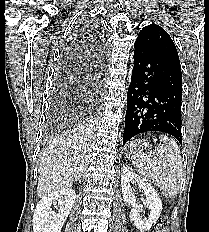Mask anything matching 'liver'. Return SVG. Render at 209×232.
I'll return each mask as SVG.
<instances>
[{
  "mask_svg": "<svg viewBox=\"0 0 209 232\" xmlns=\"http://www.w3.org/2000/svg\"><path fill=\"white\" fill-rule=\"evenodd\" d=\"M91 133L89 126L79 125L53 139L40 158L38 197L69 188L79 180L88 165Z\"/></svg>",
  "mask_w": 209,
  "mask_h": 232,
  "instance_id": "liver-1",
  "label": "liver"
}]
</instances>
